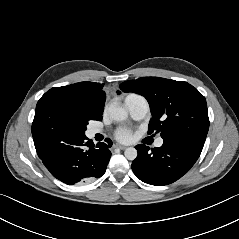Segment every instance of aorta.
Segmentation results:
<instances>
[{"instance_id":"1","label":"aorta","mask_w":239,"mask_h":239,"mask_svg":"<svg viewBox=\"0 0 239 239\" xmlns=\"http://www.w3.org/2000/svg\"><path fill=\"white\" fill-rule=\"evenodd\" d=\"M110 118L116 122H122L127 119L128 113L127 111L118 106H113L109 108ZM137 150L134 147H129L125 150L124 155L128 160H135L137 157Z\"/></svg>"}]
</instances>
